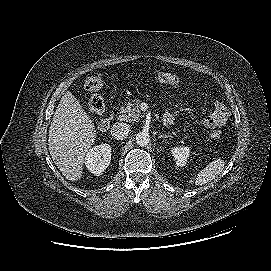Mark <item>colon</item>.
I'll return each mask as SVG.
<instances>
[{
  "instance_id": "colon-1",
  "label": "colon",
  "mask_w": 271,
  "mask_h": 271,
  "mask_svg": "<svg viewBox=\"0 0 271 271\" xmlns=\"http://www.w3.org/2000/svg\"><path fill=\"white\" fill-rule=\"evenodd\" d=\"M157 79L160 83L169 86H177L180 82V79L177 75L166 72H160L157 75ZM102 86L103 79L100 74H95L87 77L84 83L85 90L89 93H92V96L88 102V110L94 115H99L103 113L105 108V100L103 95L100 93ZM217 136L218 133H214V137Z\"/></svg>"
}]
</instances>
